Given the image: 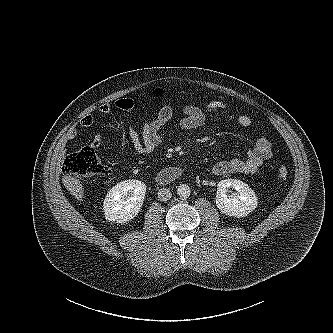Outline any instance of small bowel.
Segmentation results:
<instances>
[{
    "label": "small bowel",
    "mask_w": 333,
    "mask_h": 333,
    "mask_svg": "<svg viewBox=\"0 0 333 333\" xmlns=\"http://www.w3.org/2000/svg\"><path fill=\"white\" fill-rule=\"evenodd\" d=\"M136 107V102L131 98H120L114 104L106 103L100 106L103 114L110 113L113 109L131 111ZM182 118L178 122V128L190 131L202 127L206 121L205 112L195 105H184L181 108ZM207 112L215 116H227L242 127L252 124V118L243 113H229L227 105L223 101L214 100L208 103ZM173 117V108L170 105L162 106L156 117L143 122L141 131L133 127L127 128V136L133 150L139 155L152 153L164 139V129L170 124ZM94 123L92 115H86L80 120L82 127H90ZM78 135L75 128L70 129L64 136V142L73 141ZM101 138L96 136L93 146L100 145ZM272 144L264 131H261L253 147L247 152L245 158H229L215 163L212 173L215 175H228L232 173H255L263 163L272 156Z\"/></svg>",
    "instance_id": "c3829d8e"
}]
</instances>
